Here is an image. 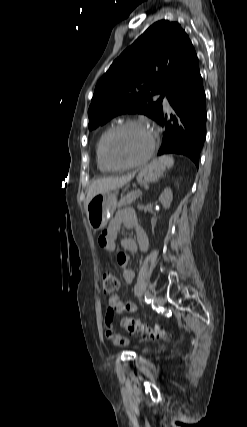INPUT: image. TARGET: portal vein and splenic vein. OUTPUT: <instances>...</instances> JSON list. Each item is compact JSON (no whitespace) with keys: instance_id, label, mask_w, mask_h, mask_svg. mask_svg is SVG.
Returning <instances> with one entry per match:
<instances>
[{"instance_id":"obj_1","label":"portal vein and splenic vein","mask_w":247,"mask_h":427,"mask_svg":"<svg viewBox=\"0 0 247 427\" xmlns=\"http://www.w3.org/2000/svg\"><path fill=\"white\" fill-rule=\"evenodd\" d=\"M139 192V194L141 195L142 194V192L141 191H138Z\"/></svg>"}]
</instances>
